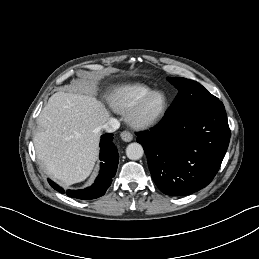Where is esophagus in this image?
<instances>
[{
    "mask_svg": "<svg viewBox=\"0 0 259 259\" xmlns=\"http://www.w3.org/2000/svg\"><path fill=\"white\" fill-rule=\"evenodd\" d=\"M121 139L125 142H130L133 140V134L129 131H123L120 134Z\"/></svg>",
    "mask_w": 259,
    "mask_h": 259,
    "instance_id": "esophagus-1",
    "label": "esophagus"
}]
</instances>
